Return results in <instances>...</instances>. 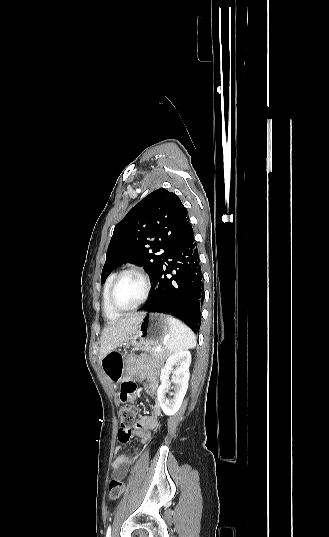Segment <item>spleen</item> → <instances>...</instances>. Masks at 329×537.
Returning <instances> with one entry per match:
<instances>
[{
    "label": "spleen",
    "instance_id": "obj_1",
    "mask_svg": "<svg viewBox=\"0 0 329 537\" xmlns=\"http://www.w3.org/2000/svg\"><path fill=\"white\" fill-rule=\"evenodd\" d=\"M170 335L166 348L169 352L192 349L196 346V337L191 329L179 319L169 317Z\"/></svg>",
    "mask_w": 329,
    "mask_h": 537
}]
</instances>
